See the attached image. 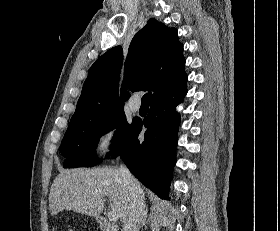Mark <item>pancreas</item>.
<instances>
[{"mask_svg": "<svg viewBox=\"0 0 280 231\" xmlns=\"http://www.w3.org/2000/svg\"><path fill=\"white\" fill-rule=\"evenodd\" d=\"M108 227H105V229H103V231H107Z\"/></svg>", "mask_w": 280, "mask_h": 231, "instance_id": "obj_1", "label": "pancreas"}]
</instances>
